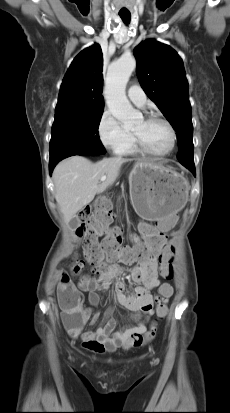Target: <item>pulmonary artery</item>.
Segmentation results:
<instances>
[{"label": "pulmonary artery", "instance_id": "1", "mask_svg": "<svg viewBox=\"0 0 230 413\" xmlns=\"http://www.w3.org/2000/svg\"><path fill=\"white\" fill-rule=\"evenodd\" d=\"M129 99L137 106H143L146 103V94L139 85H132L127 91Z\"/></svg>", "mask_w": 230, "mask_h": 413}]
</instances>
